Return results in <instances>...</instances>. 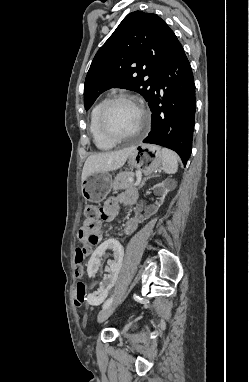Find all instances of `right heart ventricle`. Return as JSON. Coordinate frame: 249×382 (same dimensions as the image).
I'll list each match as a JSON object with an SVG mask.
<instances>
[{
  "label": "right heart ventricle",
  "instance_id": "e07e8e85",
  "mask_svg": "<svg viewBox=\"0 0 249 382\" xmlns=\"http://www.w3.org/2000/svg\"><path fill=\"white\" fill-rule=\"evenodd\" d=\"M104 101L97 103L91 110L89 130L96 147L100 150H110L116 143L107 140L101 133L98 126V115Z\"/></svg>",
  "mask_w": 249,
  "mask_h": 382
}]
</instances>
